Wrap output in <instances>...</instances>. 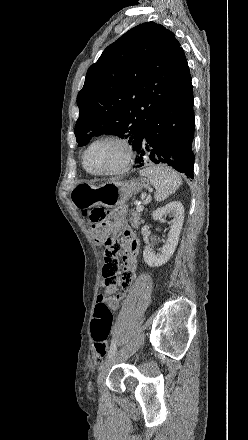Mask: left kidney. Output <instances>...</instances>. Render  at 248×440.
Masks as SVG:
<instances>
[{
	"instance_id": "left-kidney-1",
	"label": "left kidney",
	"mask_w": 248,
	"mask_h": 440,
	"mask_svg": "<svg viewBox=\"0 0 248 440\" xmlns=\"http://www.w3.org/2000/svg\"><path fill=\"white\" fill-rule=\"evenodd\" d=\"M170 214L174 217L173 223L168 233V239L159 253L145 249L143 259L150 267H158L165 264L173 255L179 241V235L184 221V207L181 202L173 201L166 206L153 212V219L160 220L163 216Z\"/></svg>"
}]
</instances>
